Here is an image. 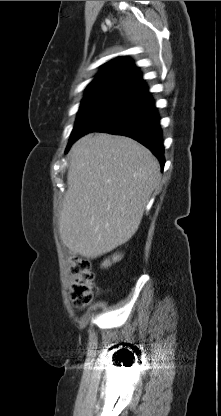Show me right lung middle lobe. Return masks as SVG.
I'll use <instances>...</instances> for the list:
<instances>
[{
    "label": "right lung middle lobe",
    "mask_w": 221,
    "mask_h": 416,
    "mask_svg": "<svg viewBox=\"0 0 221 416\" xmlns=\"http://www.w3.org/2000/svg\"><path fill=\"white\" fill-rule=\"evenodd\" d=\"M126 97L120 95H93L83 99L69 140L71 143L95 129Z\"/></svg>",
    "instance_id": "obj_1"
}]
</instances>
